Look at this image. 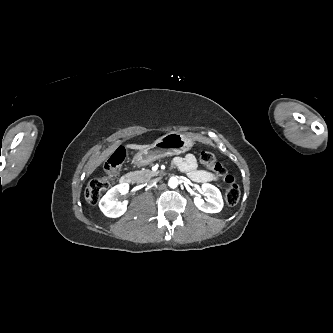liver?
Here are the masks:
<instances>
[{"label":"liver","mask_w":333,"mask_h":333,"mask_svg":"<svg viewBox=\"0 0 333 333\" xmlns=\"http://www.w3.org/2000/svg\"><path fill=\"white\" fill-rule=\"evenodd\" d=\"M149 146L150 145H148V144H144V145L128 144V145H126L127 148L134 149V150H143Z\"/></svg>","instance_id":"1"}]
</instances>
